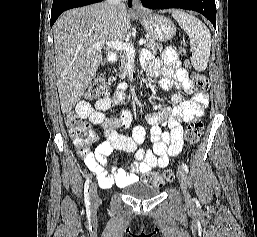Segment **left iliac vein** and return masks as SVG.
I'll return each mask as SVG.
<instances>
[{"label":"left iliac vein","mask_w":257,"mask_h":237,"mask_svg":"<svg viewBox=\"0 0 257 237\" xmlns=\"http://www.w3.org/2000/svg\"><path fill=\"white\" fill-rule=\"evenodd\" d=\"M179 183L181 185V188L183 190V194L185 199H189V193H188V175L185 172V170L181 167L178 168L177 171Z\"/></svg>","instance_id":"left-iliac-vein-1"}]
</instances>
